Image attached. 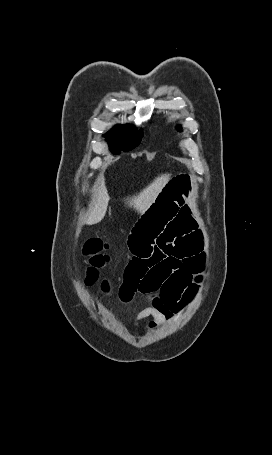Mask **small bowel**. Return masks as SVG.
<instances>
[{
  "label": "small bowel",
  "mask_w": 272,
  "mask_h": 455,
  "mask_svg": "<svg viewBox=\"0 0 272 455\" xmlns=\"http://www.w3.org/2000/svg\"><path fill=\"white\" fill-rule=\"evenodd\" d=\"M191 191L189 175L173 177L136 222L128 239L132 259L126 266L119 298L129 303L136 294L148 296L150 304L134 321L152 318L150 328L192 299L195 277L203 268L201 233L187 205Z\"/></svg>",
  "instance_id": "obj_1"
}]
</instances>
